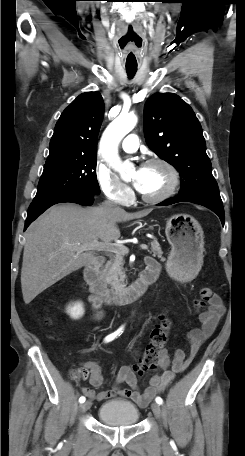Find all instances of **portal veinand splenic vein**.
I'll list each match as a JSON object with an SVG mask.
<instances>
[{
	"instance_id": "obj_1",
	"label": "portal vein and splenic vein",
	"mask_w": 245,
	"mask_h": 456,
	"mask_svg": "<svg viewBox=\"0 0 245 456\" xmlns=\"http://www.w3.org/2000/svg\"><path fill=\"white\" fill-rule=\"evenodd\" d=\"M79 247H82L85 250H97V251H107L117 253L118 251H122L124 253H128V248L124 245L120 244H112V243H102L98 240H94L93 243L87 246H81L80 244H76ZM141 249L147 250L148 246L145 244L140 245Z\"/></svg>"
}]
</instances>
